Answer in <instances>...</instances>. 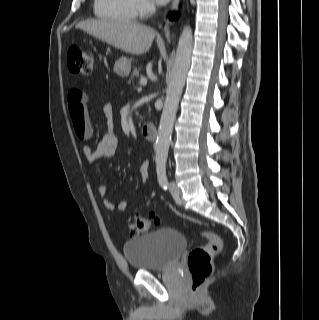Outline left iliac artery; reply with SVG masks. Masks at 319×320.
Instances as JSON below:
<instances>
[{
  "label": "left iliac artery",
  "mask_w": 319,
  "mask_h": 320,
  "mask_svg": "<svg viewBox=\"0 0 319 320\" xmlns=\"http://www.w3.org/2000/svg\"><path fill=\"white\" fill-rule=\"evenodd\" d=\"M157 176H158V181L159 184L163 189H167L168 181H167V176H166V167L165 166H158L157 167Z\"/></svg>",
  "instance_id": "left-iliac-artery-1"
}]
</instances>
